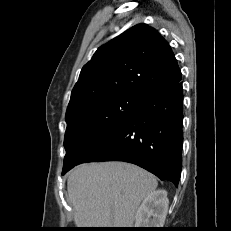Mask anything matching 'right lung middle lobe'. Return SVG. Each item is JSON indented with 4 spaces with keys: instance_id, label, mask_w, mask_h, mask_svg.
<instances>
[{
    "instance_id": "dd1d6c3e",
    "label": "right lung middle lobe",
    "mask_w": 231,
    "mask_h": 231,
    "mask_svg": "<svg viewBox=\"0 0 231 231\" xmlns=\"http://www.w3.org/2000/svg\"><path fill=\"white\" fill-rule=\"evenodd\" d=\"M139 97L117 95L66 114L63 171L118 129L137 110Z\"/></svg>"
}]
</instances>
